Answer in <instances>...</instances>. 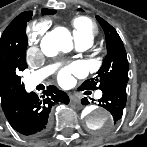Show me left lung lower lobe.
Segmentation results:
<instances>
[{
	"label": "left lung lower lobe",
	"instance_id": "obj_1",
	"mask_svg": "<svg viewBox=\"0 0 147 147\" xmlns=\"http://www.w3.org/2000/svg\"><path fill=\"white\" fill-rule=\"evenodd\" d=\"M103 95L99 100V106L107 109L113 116L114 124L120 120L126 104V83H114L103 87ZM82 104L87 105L86 98L81 100Z\"/></svg>",
	"mask_w": 147,
	"mask_h": 147
}]
</instances>
